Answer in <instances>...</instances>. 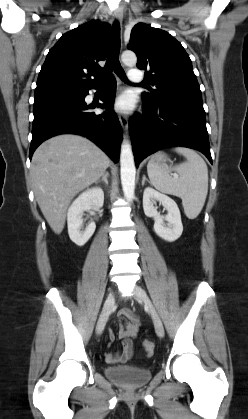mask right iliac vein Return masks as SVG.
Returning a JSON list of instances; mask_svg holds the SVG:
<instances>
[{
  "label": "right iliac vein",
  "mask_w": 248,
  "mask_h": 419,
  "mask_svg": "<svg viewBox=\"0 0 248 419\" xmlns=\"http://www.w3.org/2000/svg\"><path fill=\"white\" fill-rule=\"evenodd\" d=\"M114 301H115L114 293L110 292L109 295L106 298L105 303H104L103 312H102V314H101V316H100V318L97 322L96 334L98 336L102 334V332L105 328L108 316H109V314L112 310V307L114 305Z\"/></svg>",
  "instance_id": "obj_1"
}]
</instances>
